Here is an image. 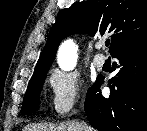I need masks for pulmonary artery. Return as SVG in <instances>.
<instances>
[{"label":"pulmonary artery","instance_id":"pulmonary-artery-1","mask_svg":"<svg viewBox=\"0 0 147 131\" xmlns=\"http://www.w3.org/2000/svg\"><path fill=\"white\" fill-rule=\"evenodd\" d=\"M103 46V42L97 44V48L100 49ZM106 57L103 54H96L93 59V63L97 68L103 67L105 64Z\"/></svg>","mask_w":147,"mask_h":131}]
</instances>
